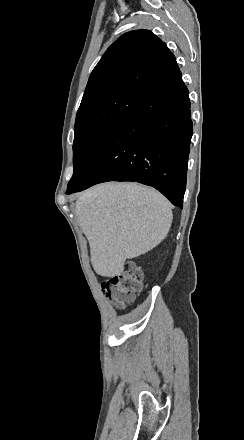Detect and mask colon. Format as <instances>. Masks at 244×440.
Instances as JSON below:
<instances>
[{
	"label": "colon",
	"mask_w": 244,
	"mask_h": 440,
	"mask_svg": "<svg viewBox=\"0 0 244 440\" xmlns=\"http://www.w3.org/2000/svg\"><path fill=\"white\" fill-rule=\"evenodd\" d=\"M143 276L134 262H126L123 271L106 277L101 283L103 296L115 302L117 307H124L138 292Z\"/></svg>",
	"instance_id": "obj_1"
}]
</instances>
